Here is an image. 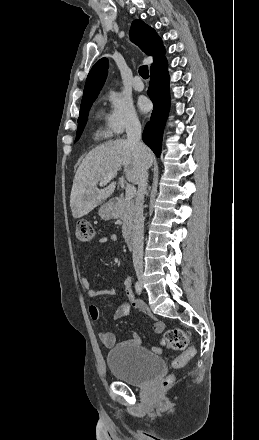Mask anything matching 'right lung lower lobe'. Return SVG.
I'll use <instances>...</instances> for the list:
<instances>
[{
	"mask_svg": "<svg viewBox=\"0 0 259 440\" xmlns=\"http://www.w3.org/2000/svg\"><path fill=\"white\" fill-rule=\"evenodd\" d=\"M148 95L153 102L154 110L150 121L143 131V141L159 156L161 153L162 133L169 111V75L166 58L150 71Z\"/></svg>",
	"mask_w": 259,
	"mask_h": 440,
	"instance_id": "obj_1",
	"label": "right lung lower lobe"
}]
</instances>
